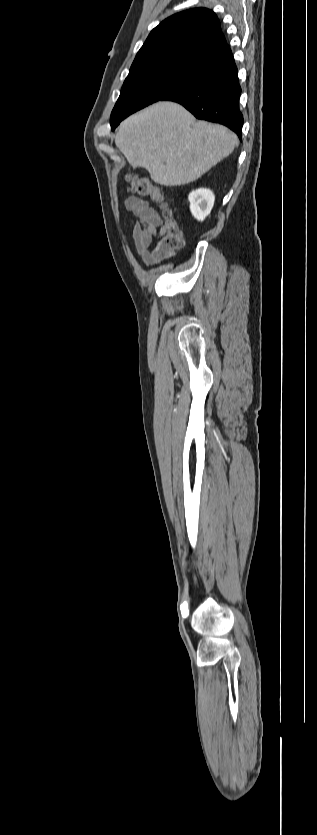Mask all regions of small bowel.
<instances>
[{
    "label": "small bowel",
    "mask_w": 317,
    "mask_h": 835,
    "mask_svg": "<svg viewBox=\"0 0 317 835\" xmlns=\"http://www.w3.org/2000/svg\"><path fill=\"white\" fill-rule=\"evenodd\" d=\"M125 207L137 218L132 226V238L144 263L154 265L162 262L165 257L158 253L157 247L151 248L153 239L164 234V223L160 214L147 200L136 196L128 197Z\"/></svg>",
    "instance_id": "small-bowel-1"
}]
</instances>
